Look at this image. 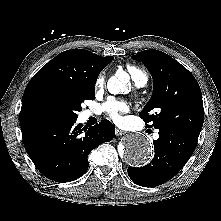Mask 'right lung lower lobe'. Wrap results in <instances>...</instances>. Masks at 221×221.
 Listing matches in <instances>:
<instances>
[{"label":"right lung lower lobe","mask_w":221,"mask_h":221,"mask_svg":"<svg viewBox=\"0 0 221 221\" xmlns=\"http://www.w3.org/2000/svg\"><path fill=\"white\" fill-rule=\"evenodd\" d=\"M76 120L31 119L21 124L25 150L48 179L70 182L79 178L88 169L90 151L115 136L108 120L89 128L76 125Z\"/></svg>","instance_id":"obj_1"}]
</instances>
